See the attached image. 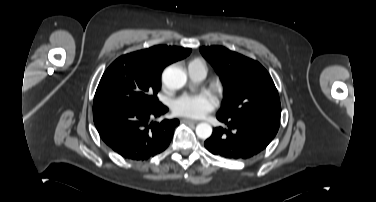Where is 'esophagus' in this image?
I'll use <instances>...</instances> for the list:
<instances>
[{
	"mask_svg": "<svg viewBox=\"0 0 376 202\" xmlns=\"http://www.w3.org/2000/svg\"><path fill=\"white\" fill-rule=\"evenodd\" d=\"M181 121L184 122V123H188V124H196L197 123L196 120H191V119H187V118H184Z\"/></svg>",
	"mask_w": 376,
	"mask_h": 202,
	"instance_id": "1",
	"label": "esophagus"
}]
</instances>
